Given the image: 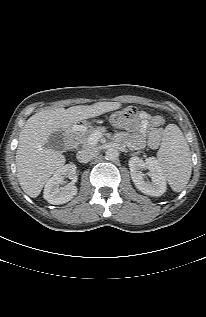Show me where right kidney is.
Wrapping results in <instances>:
<instances>
[{"label":"right kidney","instance_id":"1","mask_svg":"<svg viewBox=\"0 0 206 317\" xmlns=\"http://www.w3.org/2000/svg\"><path fill=\"white\" fill-rule=\"evenodd\" d=\"M65 178H69L72 181L65 187H60V185L64 183ZM76 181V166L74 164L64 165L46 182L43 195L44 199L53 205L69 202L77 194Z\"/></svg>","mask_w":206,"mask_h":317}]
</instances>
